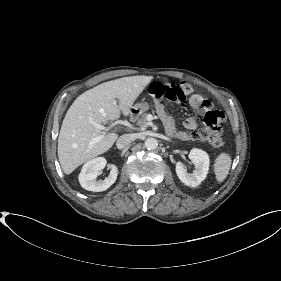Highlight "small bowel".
I'll use <instances>...</instances> for the list:
<instances>
[{"instance_id": "obj_1", "label": "small bowel", "mask_w": 281, "mask_h": 281, "mask_svg": "<svg viewBox=\"0 0 281 281\" xmlns=\"http://www.w3.org/2000/svg\"><path fill=\"white\" fill-rule=\"evenodd\" d=\"M189 104L192 108L200 111L207 110L211 107V103L209 102V100H207L200 94H193L189 98ZM155 106L157 113L164 125L165 131L168 135L180 140L196 139L197 123L193 117H189L183 122L185 130H179L176 127L171 116L167 113L164 105L160 101H157L155 103Z\"/></svg>"}]
</instances>
